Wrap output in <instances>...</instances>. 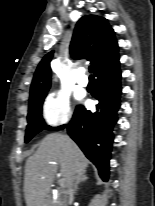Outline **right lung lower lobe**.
<instances>
[{
	"label": "right lung lower lobe",
	"mask_w": 155,
	"mask_h": 206,
	"mask_svg": "<svg viewBox=\"0 0 155 206\" xmlns=\"http://www.w3.org/2000/svg\"><path fill=\"white\" fill-rule=\"evenodd\" d=\"M120 79L118 58L108 69L97 75V111L92 113L83 106H77L69 125L55 128L61 130L67 127L70 137L95 164L104 181H107L109 175L112 128L117 122L120 107Z\"/></svg>",
	"instance_id": "1"
}]
</instances>
